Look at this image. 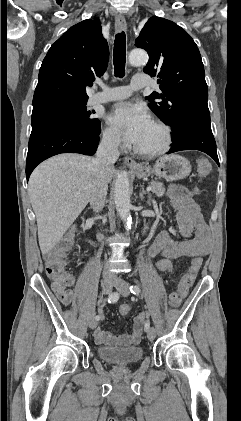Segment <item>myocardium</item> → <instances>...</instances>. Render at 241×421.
<instances>
[{
	"label": "myocardium",
	"mask_w": 241,
	"mask_h": 421,
	"mask_svg": "<svg viewBox=\"0 0 241 421\" xmlns=\"http://www.w3.org/2000/svg\"><path fill=\"white\" fill-rule=\"evenodd\" d=\"M152 123L155 124L157 127H159L163 133L162 144L158 148L150 149V150L141 149L135 145L134 151L138 155H141L144 157H156V156H160L166 153L171 148V145L173 142L171 127L160 119H153Z\"/></svg>",
	"instance_id": "obj_1"
}]
</instances>
